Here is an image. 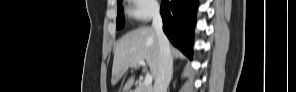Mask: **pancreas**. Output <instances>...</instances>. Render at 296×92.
<instances>
[{"label":"pancreas","instance_id":"1","mask_svg":"<svg viewBox=\"0 0 296 92\" xmlns=\"http://www.w3.org/2000/svg\"><path fill=\"white\" fill-rule=\"evenodd\" d=\"M136 92H151V89L144 84H141L137 87Z\"/></svg>","mask_w":296,"mask_h":92}]
</instances>
